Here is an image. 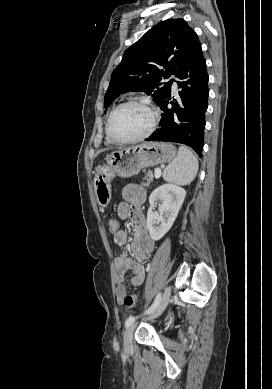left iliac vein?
<instances>
[{
	"instance_id": "left-iliac-vein-1",
	"label": "left iliac vein",
	"mask_w": 272,
	"mask_h": 389,
	"mask_svg": "<svg viewBox=\"0 0 272 389\" xmlns=\"http://www.w3.org/2000/svg\"><path fill=\"white\" fill-rule=\"evenodd\" d=\"M170 295H171V288L167 287L165 292L162 295V298H161L158 306L150 315V319L156 318L162 314V312L165 310L166 306L168 305V302L170 300ZM134 328H135V325H133V324L130 325L126 329L124 336H123L124 350L127 353L132 351V337H133Z\"/></svg>"
}]
</instances>
